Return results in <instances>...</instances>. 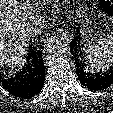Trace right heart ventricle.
Wrapping results in <instances>:
<instances>
[{"label":"right heart ventricle","instance_id":"obj_1","mask_svg":"<svg viewBox=\"0 0 113 113\" xmlns=\"http://www.w3.org/2000/svg\"><path fill=\"white\" fill-rule=\"evenodd\" d=\"M38 1H44V2L50 3V2H55L56 0H38Z\"/></svg>","mask_w":113,"mask_h":113}]
</instances>
